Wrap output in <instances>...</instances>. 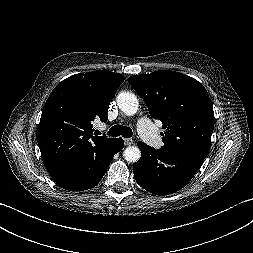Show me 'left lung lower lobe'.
<instances>
[{
    "instance_id": "obj_1",
    "label": "left lung lower lobe",
    "mask_w": 253,
    "mask_h": 253,
    "mask_svg": "<svg viewBox=\"0 0 253 253\" xmlns=\"http://www.w3.org/2000/svg\"><path fill=\"white\" fill-rule=\"evenodd\" d=\"M137 144L141 150V158L133 165L135 180L142 188L155 195H168L182 189L204 160L199 155L173 160L142 141Z\"/></svg>"
}]
</instances>
